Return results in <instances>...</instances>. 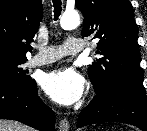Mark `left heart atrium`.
<instances>
[{
	"instance_id": "obj_1",
	"label": "left heart atrium",
	"mask_w": 147,
	"mask_h": 131,
	"mask_svg": "<svg viewBox=\"0 0 147 131\" xmlns=\"http://www.w3.org/2000/svg\"><path fill=\"white\" fill-rule=\"evenodd\" d=\"M85 79L73 68H59L49 73L43 82L47 95L63 105L77 103L85 92Z\"/></svg>"
}]
</instances>
